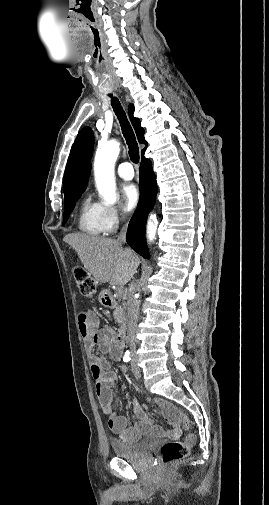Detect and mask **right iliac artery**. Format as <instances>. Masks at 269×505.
Segmentation results:
<instances>
[{"label":"right iliac artery","instance_id":"right-iliac-artery-1","mask_svg":"<svg viewBox=\"0 0 269 505\" xmlns=\"http://www.w3.org/2000/svg\"><path fill=\"white\" fill-rule=\"evenodd\" d=\"M131 359L130 352H126L123 357L124 362H129Z\"/></svg>","mask_w":269,"mask_h":505}]
</instances>
